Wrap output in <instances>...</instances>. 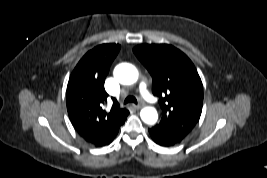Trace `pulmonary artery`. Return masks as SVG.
<instances>
[{"label":"pulmonary artery","mask_w":267,"mask_h":178,"mask_svg":"<svg viewBox=\"0 0 267 178\" xmlns=\"http://www.w3.org/2000/svg\"><path fill=\"white\" fill-rule=\"evenodd\" d=\"M139 90L141 92V94L151 103H156L157 102V99L154 98L149 92H148V89H147V86L146 84L142 81L139 83Z\"/></svg>","instance_id":"1"}]
</instances>
